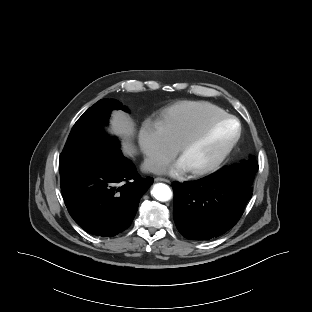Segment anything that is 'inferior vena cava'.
<instances>
[{
    "mask_svg": "<svg viewBox=\"0 0 312 312\" xmlns=\"http://www.w3.org/2000/svg\"><path fill=\"white\" fill-rule=\"evenodd\" d=\"M142 170L154 174H160L165 170V166L159 161L153 159H145L142 164Z\"/></svg>",
    "mask_w": 312,
    "mask_h": 312,
    "instance_id": "602c4592",
    "label": "inferior vena cava"
}]
</instances>
